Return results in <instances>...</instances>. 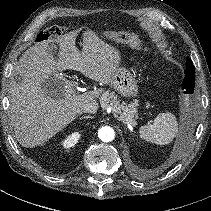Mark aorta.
<instances>
[{
    "mask_svg": "<svg viewBox=\"0 0 211 211\" xmlns=\"http://www.w3.org/2000/svg\"><path fill=\"white\" fill-rule=\"evenodd\" d=\"M98 137L103 142H110L115 138V132L111 127L104 126L99 129Z\"/></svg>",
    "mask_w": 211,
    "mask_h": 211,
    "instance_id": "aorta-1",
    "label": "aorta"
}]
</instances>
